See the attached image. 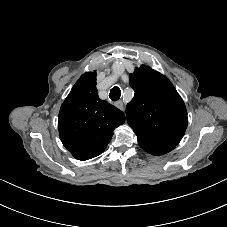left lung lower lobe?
Listing matches in <instances>:
<instances>
[{
    "mask_svg": "<svg viewBox=\"0 0 227 227\" xmlns=\"http://www.w3.org/2000/svg\"><path fill=\"white\" fill-rule=\"evenodd\" d=\"M138 144L152 155H163L175 148L176 145L162 139L145 129H134Z\"/></svg>",
    "mask_w": 227,
    "mask_h": 227,
    "instance_id": "obj_1",
    "label": "left lung lower lobe"
}]
</instances>
